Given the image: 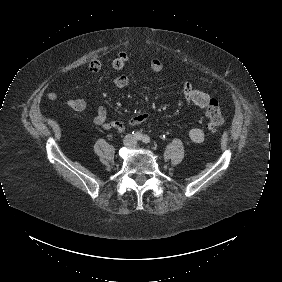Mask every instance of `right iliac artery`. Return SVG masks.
Masks as SVG:
<instances>
[{"label":"right iliac artery","instance_id":"82829eb1","mask_svg":"<svg viewBox=\"0 0 282 282\" xmlns=\"http://www.w3.org/2000/svg\"><path fill=\"white\" fill-rule=\"evenodd\" d=\"M136 140H141L143 135L140 132H132Z\"/></svg>","mask_w":282,"mask_h":282}]
</instances>
